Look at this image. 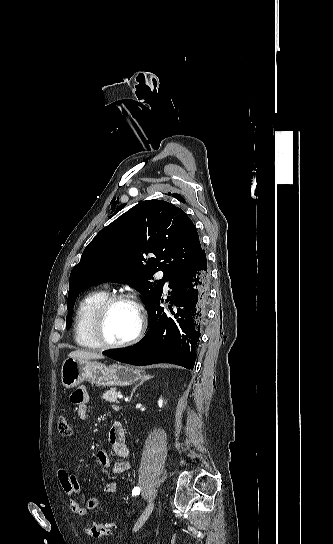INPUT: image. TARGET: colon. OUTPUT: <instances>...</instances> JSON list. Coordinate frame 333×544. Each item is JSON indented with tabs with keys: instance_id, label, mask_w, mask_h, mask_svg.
<instances>
[{
	"instance_id": "1",
	"label": "colon",
	"mask_w": 333,
	"mask_h": 544,
	"mask_svg": "<svg viewBox=\"0 0 333 544\" xmlns=\"http://www.w3.org/2000/svg\"><path fill=\"white\" fill-rule=\"evenodd\" d=\"M57 431L62 436H70L72 434V428L64 415L58 417ZM112 528H114V524L111 522L92 521L87 525L88 533L96 538L108 535Z\"/></svg>"
}]
</instances>
